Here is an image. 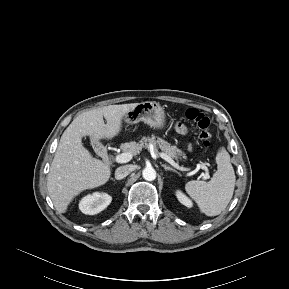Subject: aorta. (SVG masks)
I'll list each match as a JSON object with an SVG mask.
<instances>
[{
	"label": "aorta",
	"instance_id": "1",
	"mask_svg": "<svg viewBox=\"0 0 289 289\" xmlns=\"http://www.w3.org/2000/svg\"><path fill=\"white\" fill-rule=\"evenodd\" d=\"M143 178L147 181H153L156 179V171L152 167H146L142 172Z\"/></svg>",
	"mask_w": 289,
	"mask_h": 289
}]
</instances>
